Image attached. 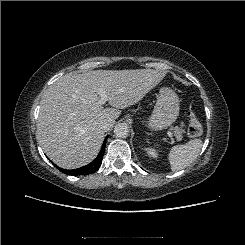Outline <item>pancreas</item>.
I'll return each mask as SVG.
<instances>
[{"label":"pancreas","mask_w":245,"mask_h":245,"mask_svg":"<svg viewBox=\"0 0 245 245\" xmlns=\"http://www.w3.org/2000/svg\"><path fill=\"white\" fill-rule=\"evenodd\" d=\"M172 130H173V132H174L176 138H177L178 140H181L182 137H183L182 135H183V133H184V130H183L181 127H178V126L173 127Z\"/></svg>","instance_id":"pancreas-1"}]
</instances>
